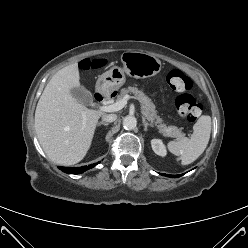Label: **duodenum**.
Segmentation results:
<instances>
[{
  "mask_svg": "<svg viewBox=\"0 0 248 248\" xmlns=\"http://www.w3.org/2000/svg\"><path fill=\"white\" fill-rule=\"evenodd\" d=\"M109 98V95L98 92L95 94V99L98 102L104 101Z\"/></svg>",
  "mask_w": 248,
  "mask_h": 248,
  "instance_id": "duodenum-1",
  "label": "duodenum"
}]
</instances>
